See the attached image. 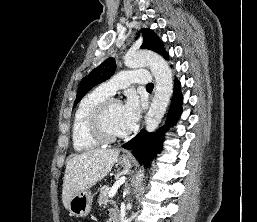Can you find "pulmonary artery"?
I'll use <instances>...</instances> for the list:
<instances>
[{
	"instance_id": "pulmonary-artery-1",
	"label": "pulmonary artery",
	"mask_w": 257,
	"mask_h": 222,
	"mask_svg": "<svg viewBox=\"0 0 257 222\" xmlns=\"http://www.w3.org/2000/svg\"><path fill=\"white\" fill-rule=\"evenodd\" d=\"M150 82V75L147 71H122L112 77L110 80L101 84L100 88L109 96L123 87L132 83L148 84Z\"/></svg>"
}]
</instances>
